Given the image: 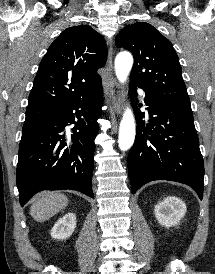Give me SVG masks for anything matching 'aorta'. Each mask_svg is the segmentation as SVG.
I'll return each instance as SVG.
<instances>
[{"mask_svg":"<svg viewBox=\"0 0 215 274\" xmlns=\"http://www.w3.org/2000/svg\"><path fill=\"white\" fill-rule=\"evenodd\" d=\"M133 65V57L129 52H121L115 59V71L120 82L124 83ZM135 139V120L130 108L124 111L119 128V148L123 151L128 150Z\"/></svg>","mask_w":215,"mask_h":274,"instance_id":"1","label":"aorta"}]
</instances>
